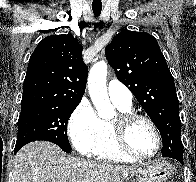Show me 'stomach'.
Masks as SVG:
<instances>
[{"label":"stomach","mask_w":196,"mask_h":182,"mask_svg":"<svg viewBox=\"0 0 196 182\" xmlns=\"http://www.w3.org/2000/svg\"><path fill=\"white\" fill-rule=\"evenodd\" d=\"M173 172L172 165L157 160L135 171L125 182H166Z\"/></svg>","instance_id":"1"}]
</instances>
